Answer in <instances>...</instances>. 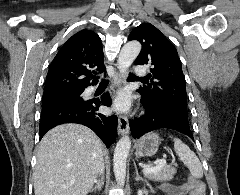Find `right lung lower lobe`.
<instances>
[{
    "mask_svg": "<svg viewBox=\"0 0 240 195\" xmlns=\"http://www.w3.org/2000/svg\"><path fill=\"white\" fill-rule=\"evenodd\" d=\"M82 98V97H81ZM108 93L97 100L54 101L42 106L39 125L40 139L56 125L79 123L92 129L109 147L116 139L118 119L115 115L106 116L98 112L100 105L110 106Z\"/></svg>",
    "mask_w": 240,
    "mask_h": 195,
    "instance_id": "1",
    "label": "right lung lower lobe"
}]
</instances>
